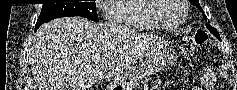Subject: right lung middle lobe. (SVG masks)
<instances>
[{"instance_id":"1","label":"right lung middle lobe","mask_w":237,"mask_h":90,"mask_svg":"<svg viewBox=\"0 0 237 90\" xmlns=\"http://www.w3.org/2000/svg\"><path fill=\"white\" fill-rule=\"evenodd\" d=\"M95 2L43 4L35 29L40 25L60 17L81 16L98 22Z\"/></svg>"}]
</instances>
